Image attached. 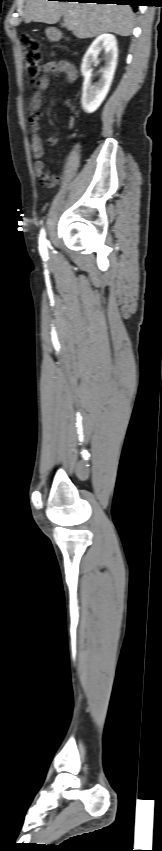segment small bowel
<instances>
[{"instance_id": "small-bowel-1", "label": "small bowel", "mask_w": 162, "mask_h": 851, "mask_svg": "<svg viewBox=\"0 0 162 851\" xmlns=\"http://www.w3.org/2000/svg\"><path fill=\"white\" fill-rule=\"evenodd\" d=\"M45 72L47 75H44L37 80L36 91L32 95L29 103L31 111L29 122L33 131L30 138V148L34 159V172L36 176L39 177L46 185L51 186L56 182V178L46 171L45 163L42 160L44 156L43 142L41 137L36 133L38 120L40 118V113L38 111L41 105V92L47 89L49 85L48 76H55L58 73H64L67 76L68 84L72 86L75 84V79L78 77L79 72L73 64L67 61L49 62L45 65ZM49 143L54 147L57 145L58 139L56 137H52L50 138Z\"/></svg>"}]
</instances>
